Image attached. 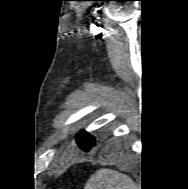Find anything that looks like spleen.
Returning <instances> with one entry per match:
<instances>
[{
  "label": "spleen",
  "mask_w": 188,
  "mask_h": 189,
  "mask_svg": "<svg viewBox=\"0 0 188 189\" xmlns=\"http://www.w3.org/2000/svg\"><path fill=\"white\" fill-rule=\"evenodd\" d=\"M132 180L117 171L100 169L88 180L84 189H134Z\"/></svg>",
  "instance_id": "obj_1"
}]
</instances>
